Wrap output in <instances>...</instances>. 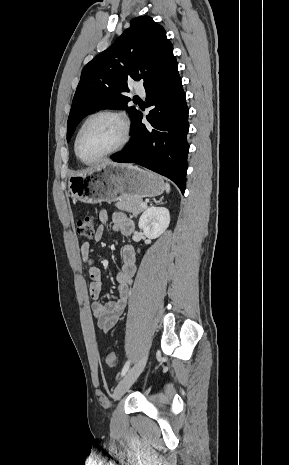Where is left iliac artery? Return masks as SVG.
Segmentation results:
<instances>
[{
    "mask_svg": "<svg viewBox=\"0 0 289 465\" xmlns=\"http://www.w3.org/2000/svg\"><path fill=\"white\" fill-rule=\"evenodd\" d=\"M129 366H130V360H128L123 366V369L121 371V377H123L127 373Z\"/></svg>",
    "mask_w": 289,
    "mask_h": 465,
    "instance_id": "left-iliac-artery-1",
    "label": "left iliac artery"
}]
</instances>
